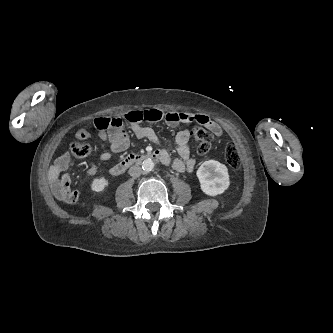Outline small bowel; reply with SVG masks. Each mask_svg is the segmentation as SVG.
Instances as JSON below:
<instances>
[{
    "label": "small bowel",
    "instance_id": "1",
    "mask_svg": "<svg viewBox=\"0 0 333 333\" xmlns=\"http://www.w3.org/2000/svg\"><path fill=\"white\" fill-rule=\"evenodd\" d=\"M163 119L169 126L175 127L180 124L198 123L204 125L214 136L223 134L222 127L215 121L211 120L207 115L190 112L169 111L163 112L159 109L133 110L125 115L129 129L132 134L139 139H147L155 144L160 143L155 131L147 126H142L143 121L153 122ZM190 130L183 129L179 131L175 137L177 152L179 158L171 159L165 149L157 150L163 157L166 165H171L178 172H192L195 169L196 162L190 153ZM80 140H86L90 137L88 131L81 129L76 134ZM101 140H107L110 144V151L101 155V160L109 161L112 159L113 153H119L126 150L129 146V137L124 129L120 130H101L98 134ZM71 163V157L68 152L61 154L51 165L48 172V180L55 197L66 203H75L79 199V192L70 189V175L67 172ZM87 173L94 175L96 167L93 164L87 166Z\"/></svg>",
    "mask_w": 333,
    "mask_h": 333
}]
</instances>
